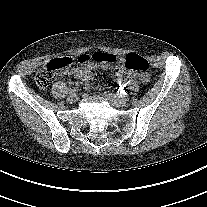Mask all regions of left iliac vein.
I'll list each match as a JSON object with an SVG mask.
<instances>
[{"instance_id": "1", "label": "left iliac vein", "mask_w": 207, "mask_h": 207, "mask_svg": "<svg viewBox=\"0 0 207 207\" xmlns=\"http://www.w3.org/2000/svg\"><path fill=\"white\" fill-rule=\"evenodd\" d=\"M106 99L111 103L114 107H122L126 105L127 100L122 99L121 97L113 94H106Z\"/></svg>"}]
</instances>
